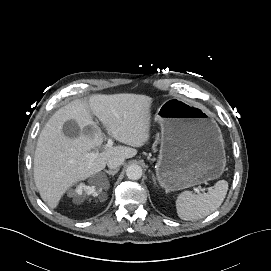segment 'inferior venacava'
Segmentation results:
<instances>
[{"label": "inferior vena cava", "instance_id": "1", "mask_svg": "<svg viewBox=\"0 0 271 271\" xmlns=\"http://www.w3.org/2000/svg\"><path fill=\"white\" fill-rule=\"evenodd\" d=\"M124 160L125 159L123 157H114V158H111L108 161L107 166L110 169H117L118 167H120L123 164Z\"/></svg>", "mask_w": 271, "mask_h": 271}]
</instances>
